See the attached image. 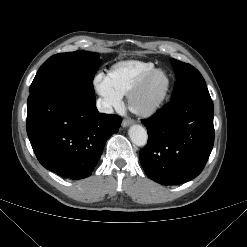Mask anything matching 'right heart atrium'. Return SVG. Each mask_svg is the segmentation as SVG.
Here are the masks:
<instances>
[{"instance_id": "1", "label": "right heart atrium", "mask_w": 247, "mask_h": 247, "mask_svg": "<svg viewBox=\"0 0 247 247\" xmlns=\"http://www.w3.org/2000/svg\"><path fill=\"white\" fill-rule=\"evenodd\" d=\"M94 85L97 92L102 97L104 105L108 111L119 109L122 104V96L111 86L109 78L105 74H98L94 78Z\"/></svg>"}]
</instances>
